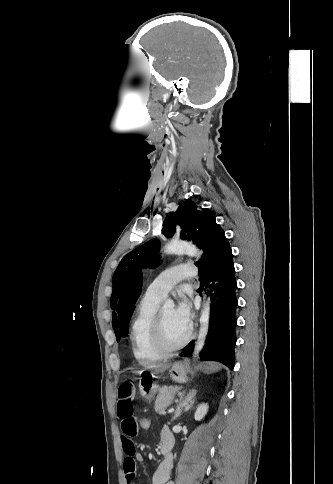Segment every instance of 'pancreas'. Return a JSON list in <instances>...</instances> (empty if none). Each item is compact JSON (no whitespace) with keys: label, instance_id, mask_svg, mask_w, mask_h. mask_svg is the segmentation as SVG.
<instances>
[{"label":"pancreas","instance_id":"cf45deb5","mask_svg":"<svg viewBox=\"0 0 333 484\" xmlns=\"http://www.w3.org/2000/svg\"><path fill=\"white\" fill-rule=\"evenodd\" d=\"M180 388L177 386L162 387L155 401V412L159 415H164V411L174 401L175 394L179 392Z\"/></svg>","mask_w":333,"mask_h":484}]
</instances>
